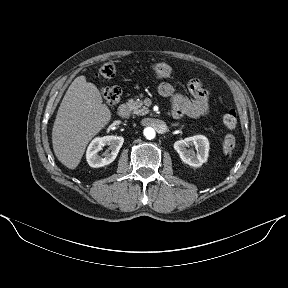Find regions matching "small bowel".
I'll return each mask as SVG.
<instances>
[{"label": "small bowel", "instance_id": "c3829d8e", "mask_svg": "<svg viewBox=\"0 0 288 288\" xmlns=\"http://www.w3.org/2000/svg\"><path fill=\"white\" fill-rule=\"evenodd\" d=\"M188 90L192 95V99L176 93L173 85L168 82H162L158 86L159 94L171 99L174 118L184 116L198 118L208 112L209 93L203 88L201 81L199 79L190 80Z\"/></svg>", "mask_w": 288, "mask_h": 288}]
</instances>
